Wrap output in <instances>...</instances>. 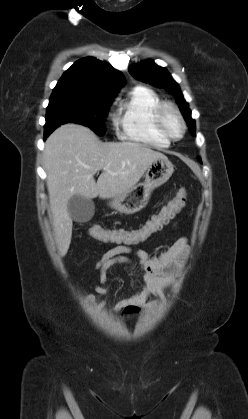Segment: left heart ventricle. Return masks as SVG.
<instances>
[{"label": "left heart ventricle", "mask_w": 248, "mask_h": 419, "mask_svg": "<svg viewBox=\"0 0 248 419\" xmlns=\"http://www.w3.org/2000/svg\"><path fill=\"white\" fill-rule=\"evenodd\" d=\"M165 125L169 132L173 134L174 136H178L181 133V124L176 117V115L171 112L167 111L165 114Z\"/></svg>", "instance_id": "b2bd125f"}]
</instances>
